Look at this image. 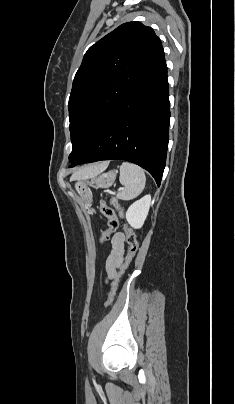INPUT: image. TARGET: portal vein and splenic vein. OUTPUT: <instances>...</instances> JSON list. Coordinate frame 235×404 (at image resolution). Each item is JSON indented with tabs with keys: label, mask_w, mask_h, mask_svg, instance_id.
<instances>
[{
	"label": "portal vein and splenic vein",
	"mask_w": 235,
	"mask_h": 404,
	"mask_svg": "<svg viewBox=\"0 0 235 404\" xmlns=\"http://www.w3.org/2000/svg\"><path fill=\"white\" fill-rule=\"evenodd\" d=\"M119 190H123V188H122V187H120V188H119Z\"/></svg>",
	"instance_id": "portal-vein-and-splenic-vein-1"
}]
</instances>
